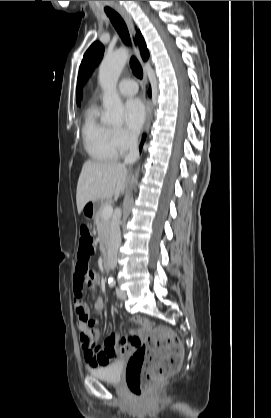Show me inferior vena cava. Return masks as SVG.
Segmentation results:
<instances>
[{"label": "inferior vena cava", "instance_id": "602c4592", "mask_svg": "<svg viewBox=\"0 0 271 418\" xmlns=\"http://www.w3.org/2000/svg\"><path fill=\"white\" fill-rule=\"evenodd\" d=\"M138 137H139L138 133H133L130 136V141H129L130 151H129V154L125 157L123 165H131L139 158ZM120 216H121V210L118 209L117 216L111 225L110 237H109V243H108V257L110 259V267L112 269L117 264V253L121 244V231H120V226H119Z\"/></svg>", "mask_w": 271, "mask_h": 418}]
</instances>
